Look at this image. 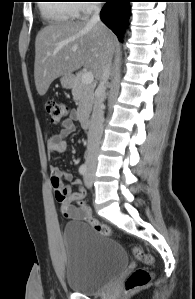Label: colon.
<instances>
[{"instance_id":"1","label":"colon","mask_w":195,"mask_h":299,"mask_svg":"<svg viewBox=\"0 0 195 299\" xmlns=\"http://www.w3.org/2000/svg\"><path fill=\"white\" fill-rule=\"evenodd\" d=\"M46 111L50 116L51 122L53 124H58L59 122L66 119L69 113V108L66 103L59 102L55 100H49L46 103ZM55 190V196L59 203L65 202L67 200L66 192L59 187V180L53 187ZM78 214L81 219L86 221L93 229H95L98 233L104 236H111L112 230L106 224L100 222L97 218H95L87 208V206L82 203H77ZM135 257L145 265H151L154 261L152 255L143 251L139 247H134L133 249ZM151 281V274L145 268H139L135 270L126 280L125 282V290L127 292H132L137 289L145 287Z\"/></svg>"}]
</instances>
